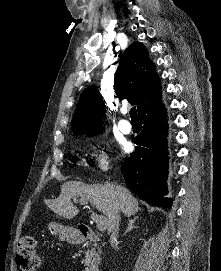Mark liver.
<instances>
[{"label":"liver","instance_id":"6515ba94","mask_svg":"<svg viewBox=\"0 0 221 271\" xmlns=\"http://www.w3.org/2000/svg\"><path fill=\"white\" fill-rule=\"evenodd\" d=\"M73 195H79L81 201H90L99 211L107 215L108 233H111L116 213L122 211L126 217H130L140 209L139 201L131 195L129 189L116 183L85 185L81 181H67L63 183L59 197L46 199V203L58 215L72 219L79 213L78 207L71 201Z\"/></svg>","mask_w":221,"mask_h":271}]
</instances>
